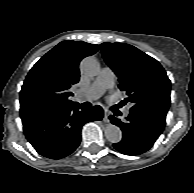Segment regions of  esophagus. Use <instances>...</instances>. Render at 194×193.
Listing matches in <instances>:
<instances>
[{
  "instance_id": "1",
  "label": "esophagus",
  "mask_w": 194,
  "mask_h": 193,
  "mask_svg": "<svg viewBox=\"0 0 194 193\" xmlns=\"http://www.w3.org/2000/svg\"><path fill=\"white\" fill-rule=\"evenodd\" d=\"M109 116H110L109 112L105 110L104 111L103 121L108 123L109 122Z\"/></svg>"
}]
</instances>
